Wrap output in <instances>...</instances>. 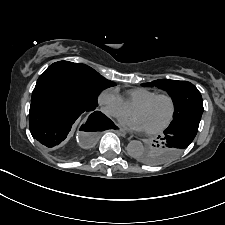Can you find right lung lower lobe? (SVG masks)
<instances>
[{"label":"right lung lower lobe","mask_w":225,"mask_h":225,"mask_svg":"<svg viewBox=\"0 0 225 225\" xmlns=\"http://www.w3.org/2000/svg\"><path fill=\"white\" fill-rule=\"evenodd\" d=\"M71 83L54 75H41L32 92L29 128L34 139L54 150L66 139L82 113H91L94 124L89 130L113 128V123ZM84 126V127H85Z\"/></svg>","instance_id":"obj_1"}]
</instances>
